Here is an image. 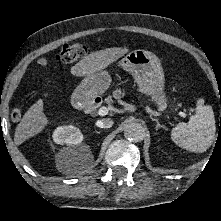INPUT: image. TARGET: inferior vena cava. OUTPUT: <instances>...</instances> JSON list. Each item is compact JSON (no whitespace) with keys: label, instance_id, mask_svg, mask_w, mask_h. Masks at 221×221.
I'll use <instances>...</instances> for the list:
<instances>
[{"label":"inferior vena cava","instance_id":"602c4592","mask_svg":"<svg viewBox=\"0 0 221 221\" xmlns=\"http://www.w3.org/2000/svg\"><path fill=\"white\" fill-rule=\"evenodd\" d=\"M112 125L113 120H111L110 118H105L96 122V126L99 128H111Z\"/></svg>","mask_w":221,"mask_h":221}]
</instances>
